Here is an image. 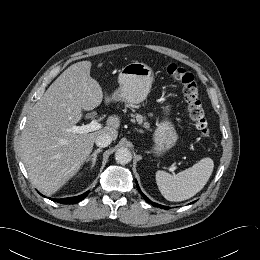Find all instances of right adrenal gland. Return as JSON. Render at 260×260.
I'll return each mask as SVG.
<instances>
[{
	"label": "right adrenal gland",
	"instance_id": "2a0ac1e0",
	"mask_svg": "<svg viewBox=\"0 0 260 260\" xmlns=\"http://www.w3.org/2000/svg\"><path fill=\"white\" fill-rule=\"evenodd\" d=\"M100 152H102V149L99 148V149L95 150L93 154H91L90 156L87 157L86 162H88L90 160L92 161L91 168L94 167L96 160H97V154Z\"/></svg>",
	"mask_w": 260,
	"mask_h": 260
}]
</instances>
